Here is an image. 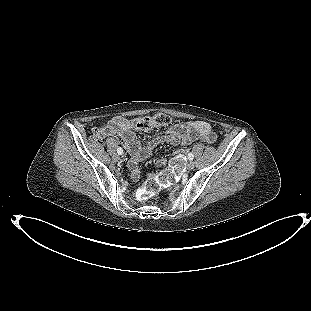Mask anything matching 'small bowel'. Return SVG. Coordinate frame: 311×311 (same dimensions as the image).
<instances>
[{
  "label": "small bowel",
  "mask_w": 311,
  "mask_h": 311,
  "mask_svg": "<svg viewBox=\"0 0 311 311\" xmlns=\"http://www.w3.org/2000/svg\"><path fill=\"white\" fill-rule=\"evenodd\" d=\"M113 121H118L120 128L116 134H118L120 140L128 149L131 157L127 166L133 180H137L140 177L139 163L147 159L152 151L162 143L185 145L198 139H202L209 143L215 140V135L210 124L205 121L195 120L185 124H174L166 130L155 134L146 145L142 146L136 139L132 127L127 124V119L116 117L111 119L109 123ZM164 164V159H159L157 161L158 166Z\"/></svg>",
  "instance_id": "small-bowel-1"
}]
</instances>
